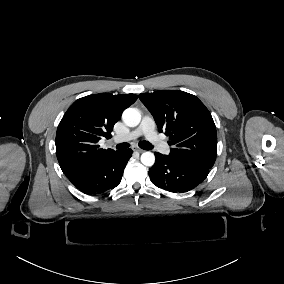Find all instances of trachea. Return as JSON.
Listing matches in <instances>:
<instances>
[{
  "label": "trachea",
  "mask_w": 284,
  "mask_h": 284,
  "mask_svg": "<svg viewBox=\"0 0 284 284\" xmlns=\"http://www.w3.org/2000/svg\"><path fill=\"white\" fill-rule=\"evenodd\" d=\"M130 146L129 143H121L116 146L117 149H127ZM139 147H141L144 150H151L153 149V145L149 143L148 141H140Z\"/></svg>",
  "instance_id": "trachea-1"
}]
</instances>
